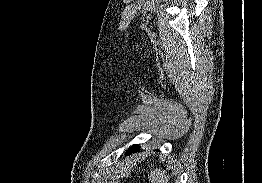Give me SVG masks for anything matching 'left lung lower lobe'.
Masks as SVG:
<instances>
[{
	"label": "left lung lower lobe",
	"instance_id": "obj_1",
	"mask_svg": "<svg viewBox=\"0 0 262 183\" xmlns=\"http://www.w3.org/2000/svg\"><path fill=\"white\" fill-rule=\"evenodd\" d=\"M138 149V145H132L130 148H129V150L127 151V154H129V153H131V152H133V151H135V150H137Z\"/></svg>",
	"mask_w": 262,
	"mask_h": 183
}]
</instances>
